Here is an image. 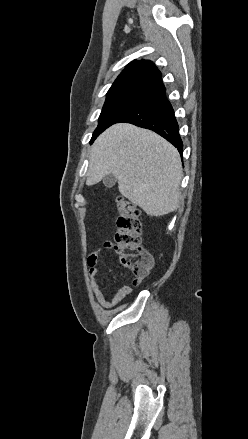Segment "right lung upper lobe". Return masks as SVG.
<instances>
[{"label":"right lung upper lobe","instance_id":"1","mask_svg":"<svg viewBox=\"0 0 248 439\" xmlns=\"http://www.w3.org/2000/svg\"><path fill=\"white\" fill-rule=\"evenodd\" d=\"M165 90L161 73L156 66L149 60H135L120 73L107 96L130 93L154 98Z\"/></svg>","mask_w":248,"mask_h":439}]
</instances>
